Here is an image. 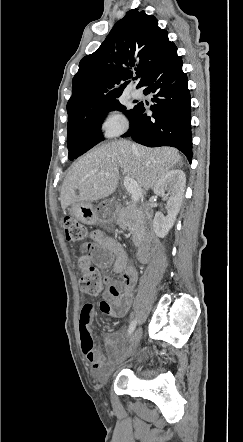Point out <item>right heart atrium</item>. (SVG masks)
I'll use <instances>...</instances> for the list:
<instances>
[{
  "mask_svg": "<svg viewBox=\"0 0 243 442\" xmlns=\"http://www.w3.org/2000/svg\"><path fill=\"white\" fill-rule=\"evenodd\" d=\"M127 127L128 120L126 116L117 110L107 112L101 122L102 132L107 137L118 136L123 133Z\"/></svg>",
  "mask_w": 243,
  "mask_h": 442,
  "instance_id": "1",
  "label": "right heart atrium"
}]
</instances>
